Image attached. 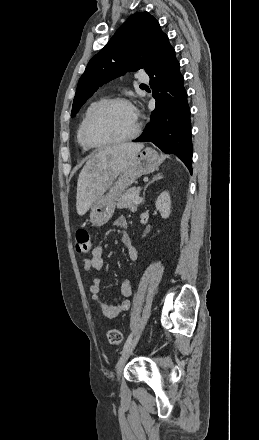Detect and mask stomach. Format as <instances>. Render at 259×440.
<instances>
[{
  "label": "stomach",
  "mask_w": 259,
  "mask_h": 440,
  "mask_svg": "<svg viewBox=\"0 0 259 440\" xmlns=\"http://www.w3.org/2000/svg\"><path fill=\"white\" fill-rule=\"evenodd\" d=\"M160 165V157L152 148L139 152L131 163L112 182L108 192L97 199L91 207L90 223L101 227L113 216L116 201L142 175L154 172Z\"/></svg>",
  "instance_id": "1"
}]
</instances>
